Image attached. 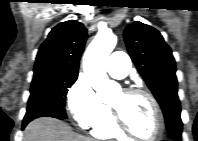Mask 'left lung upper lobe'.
<instances>
[{
    "label": "left lung upper lobe",
    "instance_id": "obj_1",
    "mask_svg": "<svg viewBox=\"0 0 198 141\" xmlns=\"http://www.w3.org/2000/svg\"><path fill=\"white\" fill-rule=\"evenodd\" d=\"M124 39L140 75L162 108L168 134H181L176 66L170 47L159 31L138 21L126 27Z\"/></svg>",
    "mask_w": 198,
    "mask_h": 141
}]
</instances>
